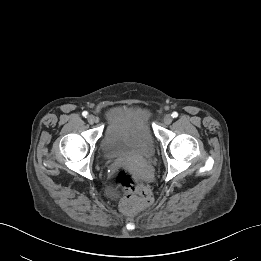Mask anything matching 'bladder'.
<instances>
[{"instance_id": "bladder-1", "label": "bladder", "mask_w": 261, "mask_h": 261, "mask_svg": "<svg viewBox=\"0 0 261 261\" xmlns=\"http://www.w3.org/2000/svg\"><path fill=\"white\" fill-rule=\"evenodd\" d=\"M121 127L108 125L103 132L99 147L105 160L117 158H148L156 148V140L145 113L139 106L121 107Z\"/></svg>"}]
</instances>
